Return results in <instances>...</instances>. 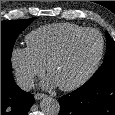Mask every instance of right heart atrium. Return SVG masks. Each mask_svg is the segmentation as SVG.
Listing matches in <instances>:
<instances>
[{"label": "right heart atrium", "mask_w": 115, "mask_h": 115, "mask_svg": "<svg viewBox=\"0 0 115 115\" xmlns=\"http://www.w3.org/2000/svg\"><path fill=\"white\" fill-rule=\"evenodd\" d=\"M11 65L19 85L30 88L36 77L44 73V66L40 64L30 53L28 48L14 47L10 54Z\"/></svg>", "instance_id": "right-heart-atrium-1"}]
</instances>
